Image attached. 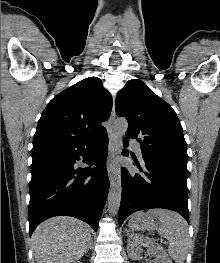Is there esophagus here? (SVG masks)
I'll return each mask as SVG.
<instances>
[{
	"label": "esophagus",
	"instance_id": "esophagus-1",
	"mask_svg": "<svg viewBox=\"0 0 220 263\" xmlns=\"http://www.w3.org/2000/svg\"><path fill=\"white\" fill-rule=\"evenodd\" d=\"M115 118H116L115 104H113L111 115L109 118V127H108L109 153L107 159V172L110 181H112L114 177V173H115L114 159L117 153V139L114 131Z\"/></svg>",
	"mask_w": 220,
	"mask_h": 263
}]
</instances>
